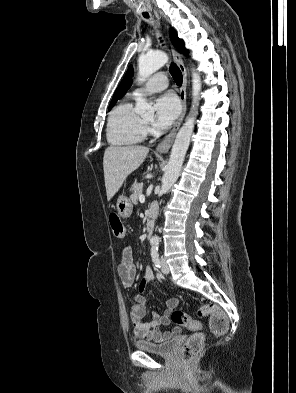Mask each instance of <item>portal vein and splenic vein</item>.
<instances>
[{
    "mask_svg": "<svg viewBox=\"0 0 296 393\" xmlns=\"http://www.w3.org/2000/svg\"><path fill=\"white\" fill-rule=\"evenodd\" d=\"M139 200H140V202H144V201H145L144 195H140V196H139Z\"/></svg>",
    "mask_w": 296,
    "mask_h": 393,
    "instance_id": "18ae733b",
    "label": "portal vein and splenic vein"
}]
</instances>
